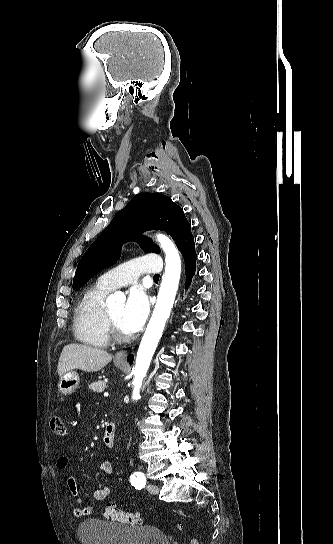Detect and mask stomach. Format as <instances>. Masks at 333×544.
Instances as JSON below:
<instances>
[{"mask_svg": "<svg viewBox=\"0 0 333 544\" xmlns=\"http://www.w3.org/2000/svg\"><path fill=\"white\" fill-rule=\"evenodd\" d=\"M116 365L120 366V363H116ZM79 382V375L75 371H68L60 378L58 391L63 395H70L76 390Z\"/></svg>", "mask_w": 333, "mask_h": 544, "instance_id": "0dacf381", "label": "stomach"}]
</instances>
